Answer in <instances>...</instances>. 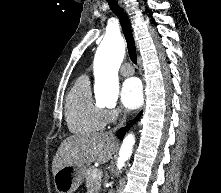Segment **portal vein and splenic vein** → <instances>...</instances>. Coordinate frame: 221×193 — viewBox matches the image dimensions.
<instances>
[{"label":"portal vein and splenic vein","mask_w":221,"mask_h":193,"mask_svg":"<svg viewBox=\"0 0 221 193\" xmlns=\"http://www.w3.org/2000/svg\"><path fill=\"white\" fill-rule=\"evenodd\" d=\"M102 174V171L100 169H95L92 173V177L96 178Z\"/></svg>","instance_id":"18ae733b"}]
</instances>
